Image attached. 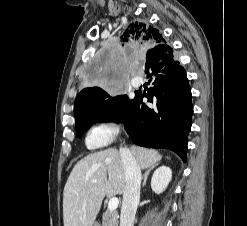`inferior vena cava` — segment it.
<instances>
[{
  "label": "inferior vena cava",
  "mask_w": 247,
  "mask_h": 226,
  "mask_svg": "<svg viewBox=\"0 0 247 226\" xmlns=\"http://www.w3.org/2000/svg\"><path fill=\"white\" fill-rule=\"evenodd\" d=\"M120 156L125 172L126 186L120 216V226H133L140 200L141 170L131 151L120 148Z\"/></svg>",
  "instance_id": "602c4592"
}]
</instances>
